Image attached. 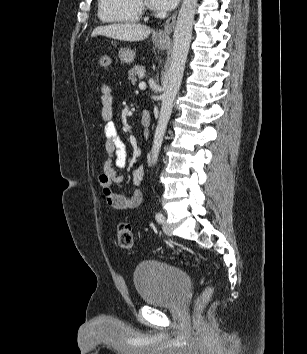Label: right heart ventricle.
<instances>
[{
    "instance_id": "e07e8e85",
    "label": "right heart ventricle",
    "mask_w": 307,
    "mask_h": 354,
    "mask_svg": "<svg viewBox=\"0 0 307 354\" xmlns=\"http://www.w3.org/2000/svg\"><path fill=\"white\" fill-rule=\"evenodd\" d=\"M98 16L106 23H130L140 19L134 0H98Z\"/></svg>"
}]
</instances>
